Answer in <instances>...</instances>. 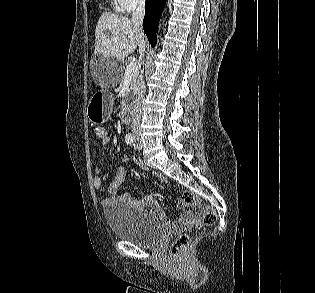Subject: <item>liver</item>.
Returning <instances> with one entry per match:
<instances>
[{"label": "liver", "instance_id": "liver-1", "mask_svg": "<svg viewBox=\"0 0 315 293\" xmlns=\"http://www.w3.org/2000/svg\"><path fill=\"white\" fill-rule=\"evenodd\" d=\"M106 31L110 35H107ZM140 37H142L145 46L143 35L141 36L134 28L129 18L104 12L96 25L94 54L122 61L135 52L139 46Z\"/></svg>", "mask_w": 315, "mask_h": 293}]
</instances>
